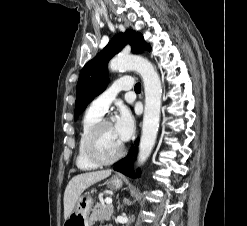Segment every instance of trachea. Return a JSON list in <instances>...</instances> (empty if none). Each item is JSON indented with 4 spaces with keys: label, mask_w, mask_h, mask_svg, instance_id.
Masks as SVG:
<instances>
[{
    "label": "trachea",
    "mask_w": 247,
    "mask_h": 226,
    "mask_svg": "<svg viewBox=\"0 0 247 226\" xmlns=\"http://www.w3.org/2000/svg\"><path fill=\"white\" fill-rule=\"evenodd\" d=\"M135 91H141V84L140 83H136L135 87H134Z\"/></svg>",
    "instance_id": "obj_1"
}]
</instances>
